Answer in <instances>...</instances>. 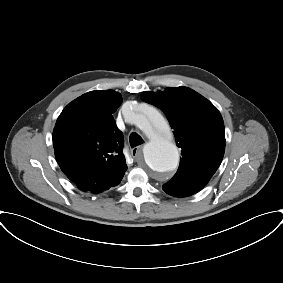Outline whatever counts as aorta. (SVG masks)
<instances>
[{"label": "aorta", "mask_w": 283, "mask_h": 283, "mask_svg": "<svg viewBox=\"0 0 283 283\" xmlns=\"http://www.w3.org/2000/svg\"><path fill=\"white\" fill-rule=\"evenodd\" d=\"M124 116L128 123L140 129L149 139L143 148L149 169L158 174L175 170L179 162V151L159 111L151 106H137L128 109Z\"/></svg>", "instance_id": "762f6f07"}]
</instances>
